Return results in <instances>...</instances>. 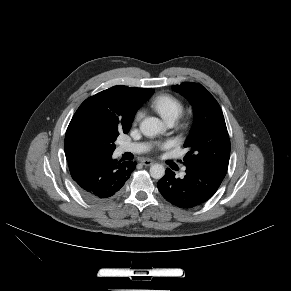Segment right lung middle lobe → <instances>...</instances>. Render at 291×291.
Instances as JSON below:
<instances>
[{
	"label": "right lung middle lobe",
	"instance_id": "right-lung-middle-lobe-1",
	"mask_svg": "<svg viewBox=\"0 0 291 291\" xmlns=\"http://www.w3.org/2000/svg\"><path fill=\"white\" fill-rule=\"evenodd\" d=\"M127 133L114 123L97 119H81L71 126V135L85 153H113L114 141L120 132Z\"/></svg>",
	"mask_w": 291,
	"mask_h": 291
}]
</instances>
